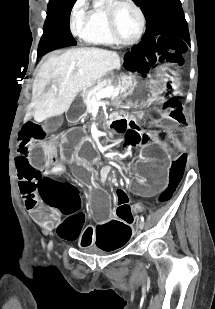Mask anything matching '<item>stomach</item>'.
<instances>
[{
  "instance_id": "0dacf381",
  "label": "stomach",
  "mask_w": 215,
  "mask_h": 309,
  "mask_svg": "<svg viewBox=\"0 0 215 309\" xmlns=\"http://www.w3.org/2000/svg\"><path fill=\"white\" fill-rule=\"evenodd\" d=\"M169 86L172 90H176L179 87L178 74L167 66H160L154 75L148 76L145 80L136 77L122 96L129 102L145 101L150 96H158L165 93Z\"/></svg>"
}]
</instances>
